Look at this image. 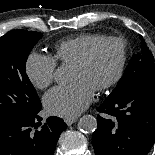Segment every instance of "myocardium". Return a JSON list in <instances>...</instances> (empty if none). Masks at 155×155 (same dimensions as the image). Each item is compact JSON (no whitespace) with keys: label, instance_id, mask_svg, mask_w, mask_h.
<instances>
[{"label":"myocardium","instance_id":"1","mask_svg":"<svg viewBox=\"0 0 155 155\" xmlns=\"http://www.w3.org/2000/svg\"><path fill=\"white\" fill-rule=\"evenodd\" d=\"M106 43H116L119 45L120 52H121L120 62L113 77L107 82H105L104 84L98 86L96 88V91L107 90L115 86L122 78L124 70H125L126 62H127V46H126V42L124 41V39L121 37H117V36L104 37L101 40L95 42L93 45H91L89 49L85 52V54L73 64V66H76V67L86 66L92 60L94 54L99 49V47H101L102 45Z\"/></svg>","mask_w":155,"mask_h":155}]
</instances>
